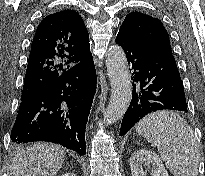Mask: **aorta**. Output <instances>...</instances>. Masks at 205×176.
<instances>
[{
  "label": "aorta",
  "instance_id": "obj_1",
  "mask_svg": "<svg viewBox=\"0 0 205 176\" xmlns=\"http://www.w3.org/2000/svg\"><path fill=\"white\" fill-rule=\"evenodd\" d=\"M106 66L111 85V97L104 114V123L109 125L125 114L131 101L132 90L127 59L120 46L113 45L109 48Z\"/></svg>",
  "mask_w": 205,
  "mask_h": 176
}]
</instances>
